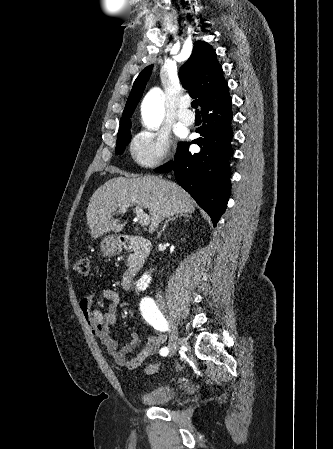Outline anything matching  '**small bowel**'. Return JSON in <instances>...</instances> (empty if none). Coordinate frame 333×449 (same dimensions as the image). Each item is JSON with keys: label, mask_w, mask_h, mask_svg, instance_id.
Instances as JSON below:
<instances>
[{"label": "small bowel", "mask_w": 333, "mask_h": 449, "mask_svg": "<svg viewBox=\"0 0 333 449\" xmlns=\"http://www.w3.org/2000/svg\"><path fill=\"white\" fill-rule=\"evenodd\" d=\"M120 296L113 289H91L80 301L79 307L92 334L98 338L114 363L133 370L138 368L147 358L159 349L160 340L157 337H146L140 352L128 359L127 356L141 342L138 334H132L128 343L120 347L112 336L111 329L117 323Z\"/></svg>", "instance_id": "obj_1"}]
</instances>
